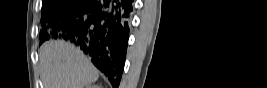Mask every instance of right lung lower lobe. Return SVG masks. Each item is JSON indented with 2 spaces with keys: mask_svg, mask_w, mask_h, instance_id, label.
I'll use <instances>...</instances> for the list:
<instances>
[{
  "mask_svg": "<svg viewBox=\"0 0 267 88\" xmlns=\"http://www.w3.org/2000/svg\"><path fill=\"white\" fill-rule=\"evenodd\" d=\"M132 11L133 0H78L44 26L45 40L62 37L75 43L109 77L112 86L118 87Z\"/></svg>",
  "mask_w": 267,
  "mask_h": 88,
  "instance_id": "right-lung-lower-lobe-1",
  "label": "right lung lower lobe"
}]
</instances>
